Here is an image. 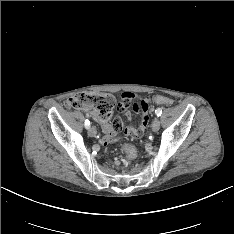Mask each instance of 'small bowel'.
<instances>
[{"label": "small bowel", "mask_w": 234, "mask_h": 234, "mask_svg": "<svg viewBox=\"0 0 234 234\" xmlns=\"http://www.w3.org/2000/svg\"><path fill=\"white\" fill-rule=\"evenodd\" d=\"M125 97V98H124ZM122 101L119 104V111L123 112L125 117L128 120L132 119V113L130 110H128L129 106L132 103V100H137L136 103L133 104V110L135 112H141V119L139 121V124L137 126L129 125L125 129V134L127 136H133L134 139L139 140L142 137L143 132L145 131V128L148 126V122L150 120V114H149V99L148 98H142L134 93H124L122 96ZM132 99V100H131ZM162 104V103H160ZM96 120L101 124L102 130H103V136L101 138V142L104 145H110L115 141V136L117 132L122 131V121L119 117L112 118L111 122L109 121H101L96 118Z\"/></svg>", "instance_id": "c3829d8e"}]
</instances>
